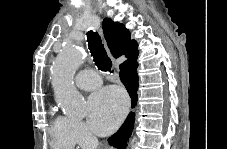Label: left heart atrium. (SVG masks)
<instances>
[{"mask_svg":"<svg viewBox=\"0 0 227 149\" xmlns=\"http://www.w3.org/2000/svg\"><path fill=\"white\" fill-rule=\"evenodd\" d=\"M127 110V98L118 88L106 87L89 99V124L101 135L110 133L120 123Z\"/></svg>","mask_w":227,"mask_h":149,"instance_id":"obj_1","label":"left heart atrium"}]
</instances>
